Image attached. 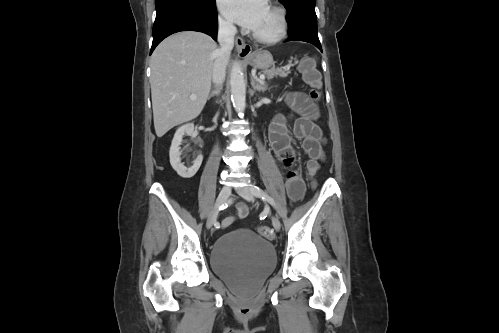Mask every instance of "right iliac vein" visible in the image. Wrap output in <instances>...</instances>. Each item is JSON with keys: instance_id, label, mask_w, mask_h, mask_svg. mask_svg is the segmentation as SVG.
Here are the masks:
<instances>
[{"instance_id": "right-iliac-vein-1", "label": "right iliac vein", "mask_w": 499, "mask_h": 333, "mask_svg": "<svg viewBox=\"0 0 499 333\" xmlns=\"http://www.w3.org/2000/svg\"><path fill=\"white\" fill-rule=\"evenodd\" d=\"M230 195L231 188L227 185L223 186L207 219L206 226L208 229H210L215 223L220 206L226 202Z\"/></svg>"}]
</instances>
